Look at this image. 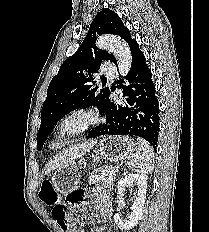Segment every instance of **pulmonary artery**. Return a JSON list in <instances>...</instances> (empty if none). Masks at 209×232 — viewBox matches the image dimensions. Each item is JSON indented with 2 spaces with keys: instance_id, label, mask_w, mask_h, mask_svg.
Here are the masks:
<instances>
[{
  "instance_id": "1",
  "label": "pulmonary artery",
  "mask_w": 209,
  "mask_h": 232,
  "mask_svg": "<svg viewBox=\"0 0 209 232\" xmlns=\"http://www.w3.org/2000/svg\"><path fill=\"white\" fill-rule=\"evenodd\" d=\"M104 75H106L107 77H115L116 74H117V70L116 68L113 66V65H107L105 68H104V71H103Z\"/></svg>"
}]
</instances>
